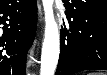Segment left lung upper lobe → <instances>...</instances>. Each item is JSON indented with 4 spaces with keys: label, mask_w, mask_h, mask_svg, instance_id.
I'll list each match as a JSON object with an SVG mask.
<instances>
[{
    "label": "left lung upper lobe",
    "mask_w": 107,
    "mask_h": 75,
    "mask_svg": "<svg viewBox=\"0 0 107 75\" xmlns=\"http://www.w3.org/2000/svg\"><path fill=\"white\" fill-rule=\"evenodd\" d=\"M105 4V6H107V1L106 0H102V1H96L93 2L92 4H88L87 5H81V11H91L94 10L96 8H101L102 5ZM73 19H71L74 23L73 25V33L76 34L77 37H81L85 35V30H84V26L82 23V18L81 16L75 12L72 16ZM76 37V38H77Z\"/></svg>",
    "instance_id": "1"
}]
</instances>
